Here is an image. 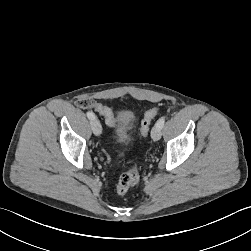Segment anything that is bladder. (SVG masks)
<instances>
[{"label":"bladder","instance_id":"obj_1","mask_svg":"<svg viewBox=\"0 0 251 251\" xmlns=\"http://www.w3.org/2000/svg\"><path fill=\"white\" fill-rule=\"evenodd\" d=\"M116 124H117V135L119 137V141H122V137L126 135V132L133 127L134 124V115L129 110H122L118 112L116 116Z\"/></svg>","mask_w":251,"mask_h":251}]
</instances>
